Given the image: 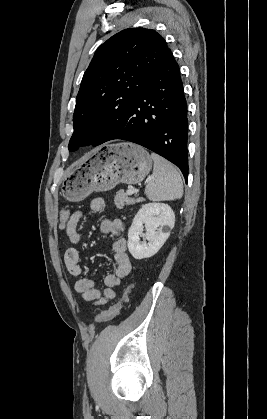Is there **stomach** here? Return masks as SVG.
<instances>
[{
	"mask_svg": "<svg viewBox=\"0 0 267 419\" xmlns=\"http://www.w3.org/2000/svg\"><path fill=\"white\" fill-rule=\"evenodd\" d=\"M151 168L152 157L143 147L129 142L105 144L70 168L61 194L78 202L94 191H108L119 183L137 184Z\"/></svg>",
	"mask_w": 267,
	"mask_h": 419,
	"instance_id": "stomach-1",
	"label": "stomach"
}]
</instances>
